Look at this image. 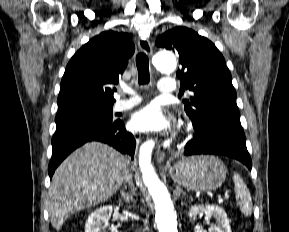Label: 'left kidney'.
<instances>
[{
	"label": "left kidney",
	"mask_w": 289,
	"mask_h": 232,
	"mask_svg": "<svg viewBox=\"0 0 289 232\" xmlns=\"http://www.w3.org/2000/svg\"><path fill=\"white\" fill-rule=\"evenodd\" d=\"M205 214L207 218L212 216L216 219L217 226L212 227L213 232H231L229 219L225 211L217 205H194L189 209V217L195 219L198 214ZM195 232H205L197 226Z\"/></svg>",
	"instance_id": "5707ae66"
}]
</instances>
